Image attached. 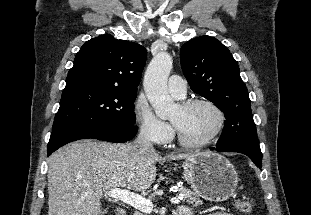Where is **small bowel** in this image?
<instances>
[{
	"label": "small bowel",
	"instance_id": "c3829d8e",
	"mask_svg": "<svg viewBox=\"0 0 311 215\" xmlns=\"http://www.w3.org/2000/svg\"><path fill=\"white\" fill-rule=\"evenodd\" d=\"M178 215H194L193 210L187 206H182L177 211ZM209 215H233L225 212H217Z\"/></svg>",
	"mask_w": 311,
	"mask_h": 215
}]
</instances>
